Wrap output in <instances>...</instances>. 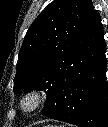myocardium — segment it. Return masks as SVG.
Instances as JSON below:
<instances>
[{
	"instance_id": "f54148a6",
	"label": "myocardium",
	"mask_w": 108,
	"mask_h": 127,
	"mask_svg": "<svg viewBox=\"0 0 108 127\" xmlns=\"http://www.w3.org/2000/svg\"><path fill=\"white\" fill-rule=\"evenodd\" d=\"M45 101V96L38 89H31L23 93L19 99V108L24 113H32L39 109Z\"/></svg>"
}]
</instances>
